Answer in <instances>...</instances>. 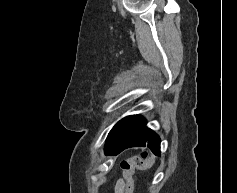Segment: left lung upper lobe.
Returning <instances> with one entry per match:
<instances>
[{
    "instance_id": "1",
    "label": "left lung upper lobe",
    "mask_w": 237,
    "mask_h": 193,
    "mask_svg": "<svg viewBox=\"0 0 237 193\" xmlns=\"http://www.w3.org/2000/svg\"><path fill=\"white\" fill-rule=\"evenodd\" d=\"M130 119L131 116H127L115 124V126L108 134L105 148L110 147L111 145L115 144L118 141V139L121 137L122 133L126 129Z\"/></svg>"
}]
</instances>
